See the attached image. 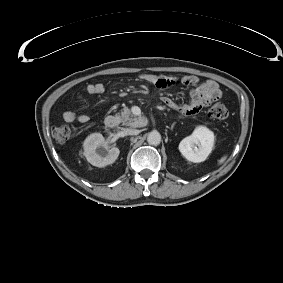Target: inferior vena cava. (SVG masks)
<instances>
[{"label": "inferior vena cava", "mask_w": 283, "mask_h": 283, "mask_svg": "<svg viewBox=\"0 0 283 283\" xmlns=\"http://www.w3.org/2000/svg\"><path fill=\"white\" fill-rule=\"evenodd\" d=\"M124 132L127 135H137V134H139V130L133 129V128H127V129H125Z\"/></svg>", "instance_id": "inferior-vena-cava-1"}]
</instances>
